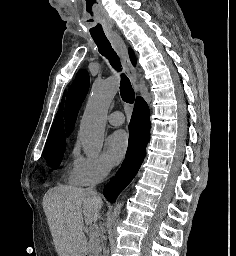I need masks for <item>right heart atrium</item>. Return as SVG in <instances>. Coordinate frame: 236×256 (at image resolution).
Instances as JSON below:
<instances>
[{
	"label": "right heart atrium",
	"instance_id": "d8ad5b80",
	"mask_svg": "<svg viewBox=\"0 0 236 256\" xmlns=\"http://www.w3.org/2000/svg\"><path fill=\"white\" fill-rule=\"evenodd\" d=\"M112 164L104 154L88 156L75 147L68 174V182L74 186L86 187L103 182L111 173Z\"/></svg>",
	"mask_w": 236,
	"mask_h": 256
}]
</instances>
